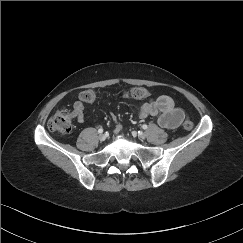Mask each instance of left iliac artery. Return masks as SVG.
Segmentation results:
<instances>
[{
	"label": "left iliac artery",
	"instance_id": "obj_1",
	"mask_svg": "<svg viewBox=\"0 0 243 243\" xmlns=\"http://www.w3.org/2000/svg\"><path fill=\"white\" fill-rule=\"evenodd\" d=\"M142 128L146 130V129L148 128V126H147L146 124H144V125L142 126Z\"/></svg>",
	"mask_w": 243,
	"mask_h": 243
}]
</instances>
